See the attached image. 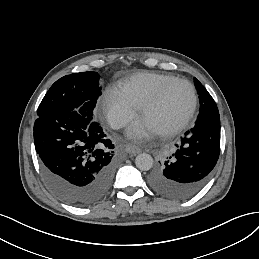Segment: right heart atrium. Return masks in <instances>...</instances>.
Listing matches in <instances>:
<instances>
[{
  "mask_svg": "<svg viewBox=\"0 0 259 259\" xmlns=\"http://www.w3.org/2000/svg\"><path fill=\"white\" fill-rule=\"evenodd\" d=\"M101 116L114 128H121L135 120L141 106L129 97L121 87L108 85L102 89L98 98Z\"/></svg>",
  "mask_w": 259,
  "mask_h": 259,
  "instance_id": "1",
  "label": "right heart atrium"
}]
</instances>
